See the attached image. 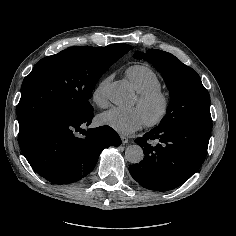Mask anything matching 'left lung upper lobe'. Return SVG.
Instances as JSON below:
<instances>
[{"instance_id": "obj_1", "label": "left lung upper lobe", "mask_w": 236, "mask_h": 236, "mask_svg": "<svg viewBox=\"0 0 236 236\" xmlns=\"http://www.w3.org/2000/svg\"><path fill=\"white\" fill-rule=\"evenodd\" d=\"M133 56L152 63L170 90L167 114L157 128L184 124L212 126L209 93L192 68L172 54L157 49H149L145 54L136 52Z\"/></svg>"}]
</instances>
